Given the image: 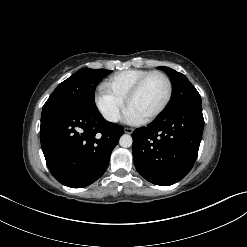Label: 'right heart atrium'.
Here are the masks:
<instances>
[{
	"label": "right heart atrium",
	"mask_w": 247,
	"mask_h": 247,
	"mask_svg": "<svg viewBox=\"0 0 247 247\" xmlns=\"http://www.w3.org/2000/svg\"><path fill=\"white\" fill-rule=\"evenodd\" d=\"M95 104L102 116L109 122L119 120L124 110V101L111 93L107 88L101 87L95 94Z\"/></svg>",
	"instance_id": "1"
}]
</instances>
